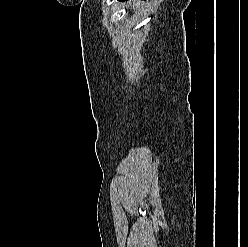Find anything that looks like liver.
I'll use <instances>...</instances> for the list:
<instances>
[{
  "label": "liver",
  "mask_w": 248,
  "mask_h": 247,
  "mask_svg": "<svg viewBox=\"0 0 248 247\" xmlns=\"http://www.w3.org/2000/svg\"><path fill=\"white\" fill-rule=\"evenodd\" d=\"M130 4H131V3H130ZM139 4H140V1L133 2V8H134V7H138V6H139Z\"/></svg>",
  "instance_id": "liver-1"
}]
</instances>
